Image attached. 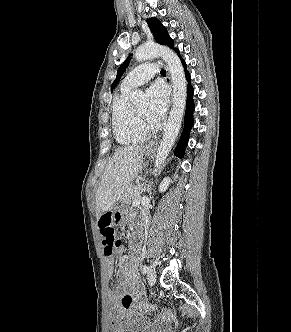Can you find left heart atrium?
Returning <instances> with one entry per match:
<instances>
[{"instance_id": "obj_1", "label": "left heart atrium", "mask_w": 291, "mask_h": 332, "mask_svg": "<svg viewBox=\"0 0 291 332\" xmlns=\"http://www.w3.org/2000/svg\"><path fill=\"white\" fill-rule=\"evenodd\" d=\"M149 103L147 119L153 123H159L166 112L168 105V92L162 84H153L148 89Z\"/></svg>"}]
</instances>
